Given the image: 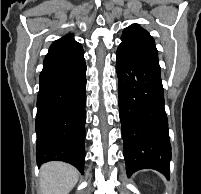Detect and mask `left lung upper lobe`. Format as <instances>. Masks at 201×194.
<instances>
[{"label":"left lung upper lobe","instance_id":"1","mask_svg":"<svg viewBox=\"0 0 201 194\" xmlns=\"http://www.w3.org/2000/svg\"><path fill=\"white\" fill-rule=\"evenodd\" d=\"M122 43H125L133 48L144 50L155 55H158L155 41L152 36L139 24H132L127 27L121 37Z\"/></svg>","mask_w":201,"mask_h":194}]
</instances>
